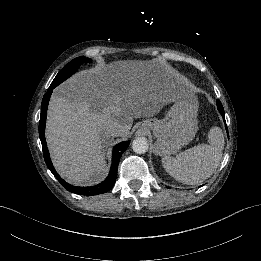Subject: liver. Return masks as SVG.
<instances>
[{
	"instance_id": "obj_1",
	"label": "liver",
	"mask_w": 261,
	"mask_h": 261,
	"mask_svg": "<svg viewBox=\"0 0 261 261\" xmlns=\"http://www.w3.org/2000/svg\"><path fill=\"white\" fill-rule=\"evenodd\" d=\"M146 64L79 72L50 100L47 141L58 171L70 182L91 185L107 173L103 150L113 141L117 122L128 136L133 119L154 117L171 104L185 80Z\"/></svg>"
}]
</instances>
